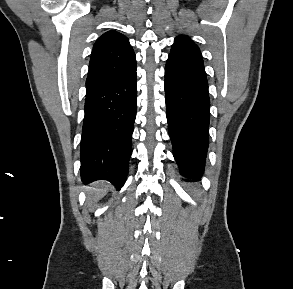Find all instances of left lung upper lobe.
Masks as SVG:
<instances>
[{"label":"left lung upper lobe","mask_w":293,"mask_h":289,"mask_svg":"<svg viewBox=\"0 0 293 289\" xmlns=\"http://www.w3.org/2000/svg\"><path fill=\"white\" fill-rule=\"evenodd\" d=\"M170 54L187 55V56L203 61L199 48L186 35H180L175 38Z\"/></svg>","instance_id":"left-lung-upper-lobe-1"}]
</instances>
